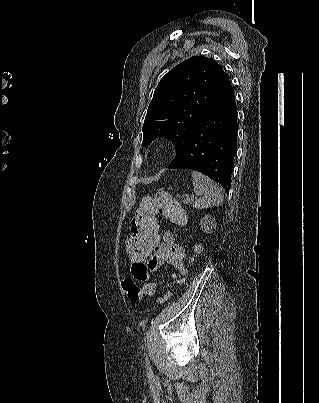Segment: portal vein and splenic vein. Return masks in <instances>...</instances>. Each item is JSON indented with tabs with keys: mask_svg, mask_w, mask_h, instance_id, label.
I'll return each mask as SVG.
<instances>
[{
	"mask_svg": "<svg viewBox=\"0 0 319 403\" xmlns=\"http://www.w3.org/2000/svg\"><path fill=\"white\" fill-rule=\"evenodd\" d=\"M193 200V196H191V198H189V196H186V198L183 200L184 203L188 204L190 203V201Z\"/></svg>",
	"mask_w": 319,
	"mask_h": 403,
	"instance_id": "portal-vein-and-splenic-vein-1",
	"label": "portal vein and splenic vein"
}]
</instances>
